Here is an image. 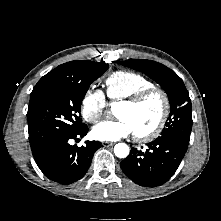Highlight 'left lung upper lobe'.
I'll use <instances>...</instances> for the list:
<instances>
[{
    "label": "left lung upper lobe",
    "mask_w": 221,
    "mask_h": 221,
    "mask_svg": "<svg viewBox=\"0 0 221 221\" xmlns=\"http://www.w3.org/2000/svg\"><path fill=\"white\" fill-rule=\"evenodd\" d=\"M121 65L140 71L155 80L168 95L170 114L161 136L189 144L192 130L191 99L183 80L171 69L151 60L130 59Z\"/></svg>",
    "instance_id": "left-lung-upper-lobe-1"
}]
</instances>
